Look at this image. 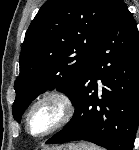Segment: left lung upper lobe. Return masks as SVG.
Returning a JSON list of instances; mask_svg holds the SVG:
<instances>
[{"mask_svg": "<svg viewBox=\"0 0 139 150\" xmlns=\"http://www.w3.org/2000/svg\"><path fill=\"white\" fill-rule=\"evenodd\" d=\"M115 0H48L30 24L19 57L13 117L17 122L40 93L78 91Z\"/></svg>", "mask_w": 139, "mask_h": 150, "instance_id": "obj_1", "label": "left lung upper lobe"}]
</instances>
